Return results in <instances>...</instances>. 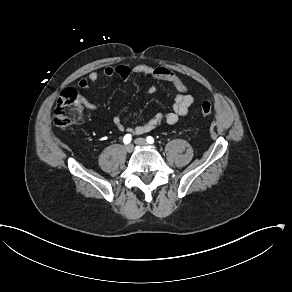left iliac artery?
<instances>
[{"label": "left iliac artery", "mask_w": 292, "mask_h": 292, "mask_svg": "<svg viewBox=\"0 0 292 292\" xmlns=\"http://www.w3.org/2000/svg\"><path fill=\"white\" fill-rule=\"evenodd\" d=\"M146 141H147L149 144H153V143H154V139H153V137H151V136H148V137L146 138Z\"/></svg>", "instance_id": "left-iliac-artery-1"}]
</instances>
